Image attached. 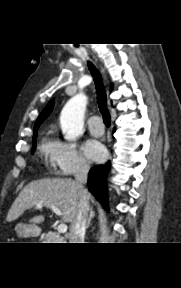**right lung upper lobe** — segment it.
Masks as SVG:
<instances>
[{
  "label": "right lung upper lobe",
  "instance_id": "obj_1",
  "mask_svg": "<svg viewBox=\"0 0 181 288\" xmlns=\"http://www.w3.org/2000/svg\"><path fill=\"white\" fill-rule=\"evenodd\" d=\"M113 88V85H111V90ZM53 100H51L47 106L44 108V110L41 112L39 117L36 120L35 126H34V136H33V141H35L36 136H37V129L39 125L47 118V116L51 113L52 108H53Z\"/></svg>",
  "mask_w": 181,
  "mask_h": 288
}]
</instances>
